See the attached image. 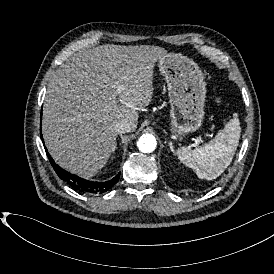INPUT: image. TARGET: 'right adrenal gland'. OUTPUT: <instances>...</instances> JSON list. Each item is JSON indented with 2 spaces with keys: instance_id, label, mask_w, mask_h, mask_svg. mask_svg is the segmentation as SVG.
<instances>
[{
  "instance_id": "obj_1",
  "label": "right adrenal gland",
  "mask_w": 274,
  "mask_h": 274,
  "mask_svg": "<svg viewBox=\"0 0 274 274\" xmlns=\"http://www.w3.org/2000/svg\"><path fill=\"white\" fill-rule=\"evenodd\" d=\"M115 149H116V146L114 147V151H115ZM114 151H113V152H114Z\"/></svg>"
}]
</instances>
